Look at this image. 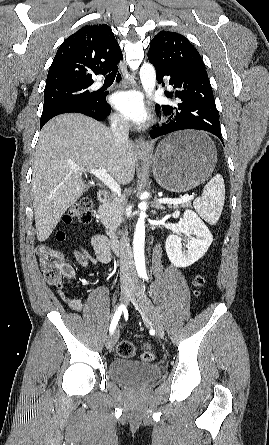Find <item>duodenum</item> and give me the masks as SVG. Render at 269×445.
<instances>
[{"label":"duodenum","mask_w":269,"mask_h":445,"mask_svg":"<svg viewBox=\"0 0 269 445\" xmlns=\"http://www.w3.org/2000/svg\"><path fill=\"white\" fill-rule=\"evenodd\" d=\"M109 198V193L106 190H99L97 192V200L99 203H105ZM107 245L114 253H120V242L115 238H108Z\"/></svg>","instance_id":"duodenum-1"}]
</instances>
